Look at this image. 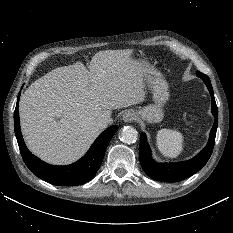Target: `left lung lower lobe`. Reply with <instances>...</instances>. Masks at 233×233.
<instances>
[{"instance_id": "1", "label": "left lung lower lobe", "mask_w": 233, "mask_h": 233, "mask_svg": "<svg viewBox=\"0 0 233 233\" xmlns=\"http://www.w3.org/2000/svg\"><path fill=\"white\" fill-rule=\"evenodd\" d=\"M197 76L205 82L212 97L211 110L215 117V122L210 132L209 141L206 147L198 155L188 161L160 164L152 160L150 155L151 150L147 143L146 135L141 134L139 152L140 164L145 173L154 180L163 182H177L186 179L204 167L211 156L218 125V109L209 77L203 73L198 74Z\"/></svg>"}]
</instances>
